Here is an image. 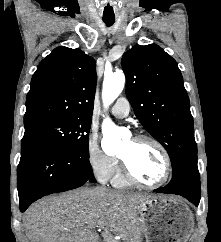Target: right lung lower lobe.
<instances>
[{"label":"right lung lower lobe","instance_id":"obj_1","mask_svg":"<svg viewBox=\"0 0 221 242\" xmlns=\"http://www.w3.org/2000/svg\"><path fill=\"white\" fill-rule=\"evenodd\" d=\"M94 182L89 158L47 144L21 146L17 169L20 210L39 198Z\"/></svg>","mask_w":221,"mask_h":242}]
</instances>
